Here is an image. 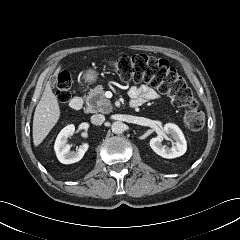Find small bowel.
I'll return each instance as SVG.
<instances>
[{"label":"small bowel","instance_id":"c3829d8e","mask_svg":"<svg viewBox=\"0 0 240 240\" xmlns=\"http://www.w3.org/2000/svg\"><path fill=\"white\" fill-rule=\"evenodd\" d=\"M128 94L132 99L131 103H135L137 107L159 98L157 91L145 84L140 86H132L129 89Z\"/></svg>","mask_w":240,"mask_h":240}]
</instances>
